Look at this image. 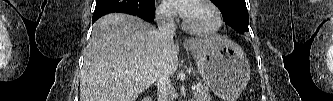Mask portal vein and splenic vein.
<instances>
[{
    "label": "portal vein and splenic vein",
    "instance_id": "18ae733b",
    "mask_svg": "<svg viewBox=\"0 0 333 101\" xmlns=\"http://www.w3.org/2000/svg\"><path fill=\"white\" fill-rule=\"evenodd\" d=\"M133 77H136L137 79L140 78V76H138V75H133ZM195 89H196V86H195V85L191 87V90H192V91H194Z\"/></svg>",
    "mask_w": 333,
    "mask_h": 101
}]
</instances>
